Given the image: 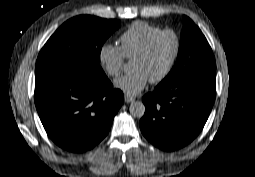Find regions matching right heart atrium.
Masks as SVG:
<instances>
[{
  "instance_id": "d8ad5b80",
  "label": "right heart atrium",
  "mask_w": 255,
  "mask_h": 177,
  "mask_svg": "<svg viewBox=\"0 0 255 177\" xmlns=\"http://www.w3.org/2000/svg\"><path fill=\"white\" fill-rule=\"evenodd\" d=\"M99 61L107 74L116 77L124 65V55L120 46L112 43H105L99 49Z\"/></svg>"
}]
</instances>
